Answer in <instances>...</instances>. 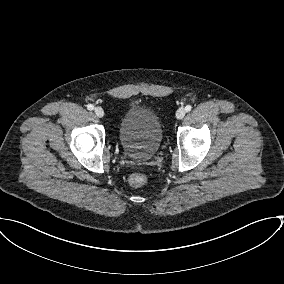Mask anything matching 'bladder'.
Wrapping results in <instances>:
<instances>
[{
	"mask_svg": "<svg viewBox=\"0 0 284 284\" xmlns=\"http://www.w3.org/2000/svg\"><path fill=\"white\" fill-rule=\"evenodd\" d=\"M118 134L121 147L128 157L146 161L157 153L163 139V127L154 110L133 104L123 114Z\"/></svg>",
	"mask_w": 284,
	"mask_h": 284,
	"instance_id": "obj_1",
	"label": "bladder"
}]
</instances>
